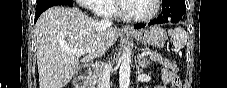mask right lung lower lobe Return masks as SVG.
Returning <instances> with one entry per match:
<instances>
[{
	"label": "right lung lower lobe",
	"instance_id": "obj_1",
	"mask_svg": "<svg viewBox=\"0 0 227 88\" xmlns=\"http://www.w3.org/2000/svg\"><path fill=\"white\" fill-rule=\"evenodd\" d=\"M54 5H58V4L57 3H45L43 5L36 6L35 22L37 21V19L39 18V16L41 15V13L43 11H45L47 8L54 6Z\"/></svg>",
	"mask_w": 227,
	"mask_h": 88
}]
</instances>
